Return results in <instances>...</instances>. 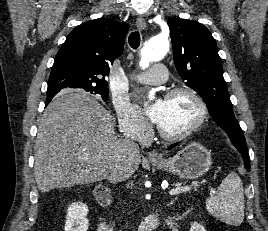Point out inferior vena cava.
Returning <instances> with one entry per match:
<instances>
[{
  "label": "inferior vena cava",
  "mask_w": 268,
  "mask_h": 231,
  "mask_svg": "<svg viewBox=\"0 0 268 231\" xmlns=\"http://www.w3.org/2000/svg\"><path fill=\"white\" fill-rule=\"evenodd\" d=\"M124 135H125L126 142H128L132 147L139 149L138 145L134 142V140L128 134H124ZM118 181H119L118 176H114V178L111 179V182H118Z\"/></svg>",
  "instance_id": "inferior-vena-cava-1"
}]
</instances>
